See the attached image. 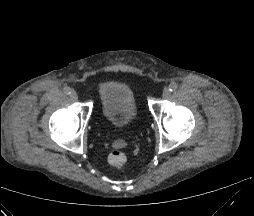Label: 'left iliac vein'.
Wrapping results in <instances>:
<instances>
[{
  "instance_id": "1",
  "label": "left iliac vein",
  "mask_w": 254,
  "mask_h": 216,
  "mask_svg": "<svg viewBox=\"0 0 254 216\" xmlns=\"http://www.w3.org/2000/svg\"><path fill=\"white\" fill-rule=\"evenodd\" d=\"M170 94H171L170 90L166 88L163 90L162 96H163V98H168L170 96Z\"/></svg>"
}]
</instances>
